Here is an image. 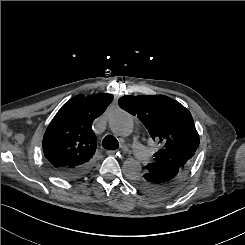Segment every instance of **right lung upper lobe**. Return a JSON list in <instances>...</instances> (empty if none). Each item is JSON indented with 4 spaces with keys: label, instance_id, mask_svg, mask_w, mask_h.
I'll return each mask as SVG.
<instances>
[{
    "label": "right lung upper lobe",
    "instance_id": "cb5924a9",
    "mask_svg": "<svg viewBox=\"0 0 245 245\" xmlns=\"http://www.w3.org/2000/svg\"><path fill=\"white\" fill-rule=\"evenodd\" d=\"M113 95H78L66 102L46 129L42 147L52 168H77L92 161L96 136L92 122L101 116Z\"/></svg>",
    "mask_w": 245,
    "mask_h": 245
}]
</instances>
